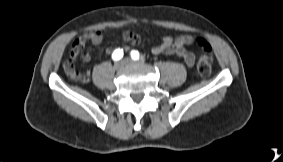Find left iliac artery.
Returning <instances> with one entry per match:
<instances>
[{"label": "left iliac artery", "instance_id": "left-iliac-artery-1", "mask_svg": "<svg viewBox=\"0 0 283 162\" xmlns=\"http://www.w3.org/2000/svg\"><path fill=\"white\" fill-rule=\"evenodd\" d=\"M131 57L133 60H140L142 58H140L139 52L136 50L131 51Z\"/></svg>", "mask_w": 283, "mask_h": 162}]
</instances>
